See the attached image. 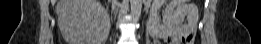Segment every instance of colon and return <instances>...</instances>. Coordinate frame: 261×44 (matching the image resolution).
<instances>
[{"label": "colon", "instance_id": "colon-1", "mask_svg": "<svg viewBox=\"0 0 261 44\" xmlns=\"http://www.w3.org/2000/svg\"><path fill=\"white\" fill-rule=\"evenodd\" d=\"M186 5H189V2H186ZM169 43H171V44L183 43V40L180 38H177V39L171 40Z\"/></svg>", "mask_w": 261, "mask_h": 44}]
</instances>
